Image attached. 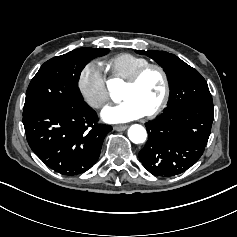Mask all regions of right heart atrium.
<instances>
[{
    "mask_svg": "<svg viewBox=\"0 0 237 237\" xmlns=\"http://www.w3.org/2000/svg\"><path fill=\"white\" fill-rule=\"evenodd\" d=\"M78 87L83 99L92 108L100 109L110 100L106 75L95 61L87 63L81 69Z\"/></svg>",
    "mask_w": 237,
    "mask_h": 237,
    "instance_id": "d8ad5b80",
    "label": "right heart atrium"
}]
</instances>
